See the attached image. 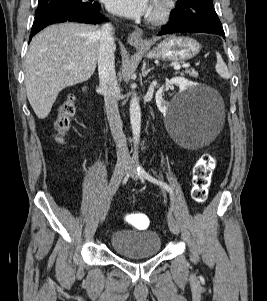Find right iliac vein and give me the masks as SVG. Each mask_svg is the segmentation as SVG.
Listing matches in <instances>:
<instances>
[{
	"mask_svg": "<svg viewBox=\"0 0 267 301\" xmlns=\"http://www.w3.org/2000/svg\"><path fill=\"white\" fill-rule=\"evenodd\" d=\"M126 169L125 165H119L117 166L112 174L108 189L106 190L104 194V200L100 211V221L101 223L105 220V217L107 215L108 209H109V202L111 201L113 195L116 192V189L121 182V179L123 177L124 171Z\"/></svg>",
	"mask_w": 267,
	"mask_h": 301,
	"instance_id": "right-iliac-vein-1",
	"label": "right iliac vein"
}]
</instances>
